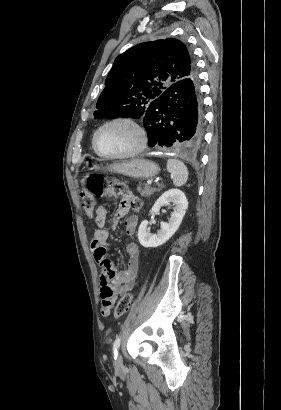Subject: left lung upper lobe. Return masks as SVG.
<instances>
[{
	"label": "left lung upper lobe",
	"mask_w": 281,
	"mask_h": 410,
	"mask_svg": "<svg viewBox=\"0 0 281 410\" xmlns=\"http://www.w3.org/2000/svg\"><path fill=\"white\" fill-rule=\"evenodd\" d=\"M191 75H197L196 67L181 41L167 38L138 44L116 58L94 117L142 119L152 101Z\"/></svg>",
	"instance_id": "1"
}]
</instances>
